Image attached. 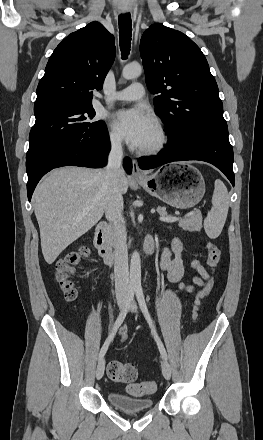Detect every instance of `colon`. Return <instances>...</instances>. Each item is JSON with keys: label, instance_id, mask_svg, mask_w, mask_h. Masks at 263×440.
I'll list each match as a JSON object with an SVG mask.
<instances>
[{"label": "colon", "instance_id": "5ec220e1", "mask_svg": "<svg viewBox=\"0 0 263 440\" xmlns=\"http://www.w3.org/2000/svg\"><path fill=\"white\" fill-rule=\"evenodd\" d=\"M207 249L209 253L207 264L212 270H215L221 257L220 249L211 242L207 244ZM86 252L87 250L83 249L80 253L69 254L56 263L55 279L68 301H74L78 296L73 276ZM210 291L211 285L209 283L198 294L195 317L198 315V307L208 298ZM106 372L111 380L119 383H130L138 375V369L135 364L115 360L108 362ZM155 390L156 383L152 381L130 384L128 386V392L134 396L152 393Z\"/></svg>", "mask_w": 263, "mask_h": 440}]
</instances>
